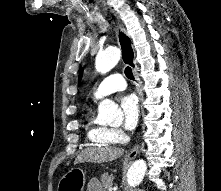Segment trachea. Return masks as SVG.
Returning a JSON list of instances; mask_svg holds the SVG:
<instances>
[{
    "instance_id": "1",
    "label": "trachea",
    "mask_w": 221,
    "mask_h": 191,
    "mask_svg": "<svg viewBox=\"0 0 221 191\" xmlns=\"http://www.w3.org/2000/svg\"><path fill=\"white\" fill-rule=\"evenodd\" d=\"M125 75L127 78L133 80L134 76L130 67L125 68Z\"/></svg>"
}]
</instances>
